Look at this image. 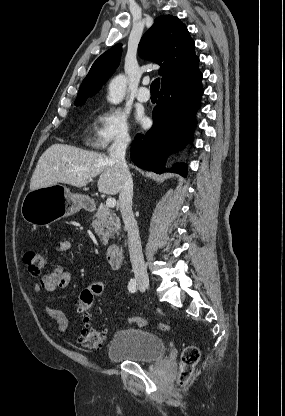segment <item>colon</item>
<instances>
[{
    "label": "colon",
    "mask_w": 285,
    "mask_h": 416,
    "mask_svg": "<svg viewBox=\"0 0 285 416\" xmlns=\"http://www.w3.org/2000/svg\"><path fill=\"white\" fill-rule=\"evenodd\" d=\"M23 261L27 266L29 273L33 276H38L45 265V258L42 253L37 250H29L24 254ZM104 291L103 284L94 282L82 290L79 296V311L84 318V327L81 329L78 342L81 346L87 349H98L104 345L107 335L104 330L97 329L91 324V315L94 300ZM129 322L138 327H145L149 325V321L145 318L132 317ZM161 330H168L169 325L160 323ZM200 359V352L195 346H189L182 352V368L178 377L180 385H185L196 364Z\"/></svg>",
    "instance_id": "obj_1"
}]
</instances>
